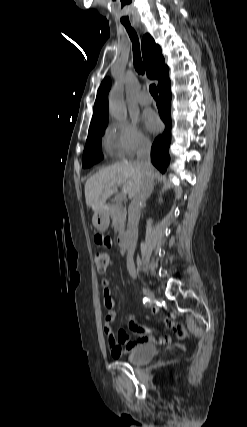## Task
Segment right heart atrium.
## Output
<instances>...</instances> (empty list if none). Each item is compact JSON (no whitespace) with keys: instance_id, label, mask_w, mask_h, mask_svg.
Here are the masks:
<instances>
[{"instance_id":"d8ad5b80","label":"right heart atrium","mask_w":247,"mask_h":427,"mask_svg":"<svg viewBox=\"0 0 247 427\" xmlns=\"http://www.w3.org/2000/svg\"><path fill=\"white\" fill-rule=\"evenodd\" d=\"M105 145L113 156L130 158L147 150L151 141L135 123L114 121L106 128Z\"/></svg>"}]
</instances>
